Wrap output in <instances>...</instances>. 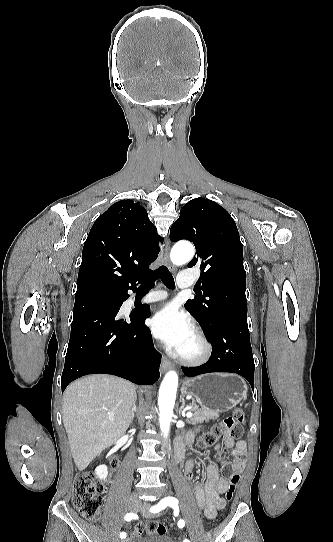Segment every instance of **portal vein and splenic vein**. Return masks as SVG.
Returning a JSON list of instances; mask_svg holds the SVG:
<instances>
[{
	"label": "portal vein and splenic vein",
	"mask_w": 333,
	"mask_h": 542,
	"mask_svg": "<svg viewBox=\"0 0 333 542\" xmlns=\"http://www.w3.org/2000/svg\"><path fill=\"white\" fill-rule=\"evenodd\" d=\"M186 416H187V418H192L193 414H192V412H186Z\"/></svg>",
	"instance_id": "1"
}]
</instances>
